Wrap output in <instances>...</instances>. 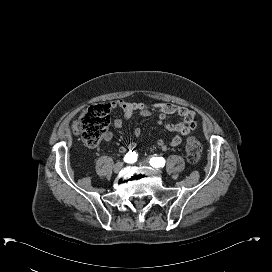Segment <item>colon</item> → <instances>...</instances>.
<instances>
[{"instance_id":"obj_1","label":"colon","mask_w":272,"mask_h":272,"mask_svg":"<svg viewBox=\"0 0 272 272\" xmlns=\"http://www.w3.org/2000/svg\"><path fill=\"white\" fill-rule=\"evenodd\" d=\"M110 105L97 103L82 111L73 123L72 131L88 146H96L106 132L109 119ZM202 148L195 137L187 139L185 144L186 159L190 164H197L201 159Z\"/></svg>"}]
</instances>
